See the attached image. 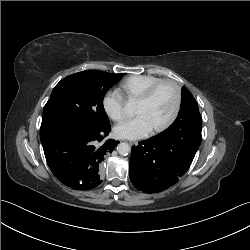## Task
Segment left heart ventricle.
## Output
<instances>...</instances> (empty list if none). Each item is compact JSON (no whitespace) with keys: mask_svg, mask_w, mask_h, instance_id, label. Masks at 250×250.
<instances>
[{"mask_svg":"<svg viewBox=\"0 0 250 250\" xmlns=\"http://www.w3.org/2000/svg\"><path fill=\"white\" fill-rule=\"evenodd\" d=\"M175 92L172 86H161L148 102L136 103L135 113L144 115L154 128L165 123L173 113Z\"/></svg>","mask_w":250,"mask_h":250,"instance_id":"left-heart-ventricle-1","label":"left heart ventricle"}]
</instances>
